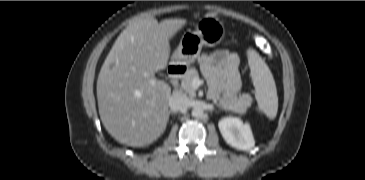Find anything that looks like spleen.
Wrapping results in <instances>:
<instances>
[{"instance_id": "spleen-1", "label": "spleen", "mask_w": 365, "mask_h": 180, "mask_svg": "<svg viewBox=\"0 0 365 180\" xmlns=\"http://www.w3.org/2000/svg\"><path fill=\"white\" fill-rule=\"evenodd\" d=\"M247 56L258 109L270 119H274L278 111V96L272 73L255 50L249 49Z\"/></svg>"}]
</instances>
